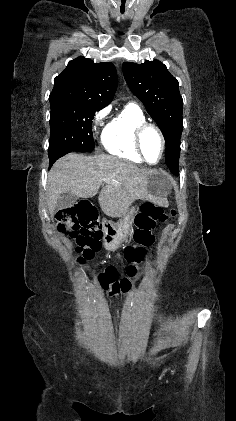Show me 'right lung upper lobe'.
Returning <instances> with one entry per match:
<instances>
[{
  "instance_id": "cb5924a9",
  "label": "right lung upper lobe",
  "mask_w": 236,
  "mask_h": 421,
  "mask_svg": "<svg viewBox=\"0 0 236 421\" xmlns=\"http://www.w3.org/2000/svg\"><path fill=\"white\" fill-rule=\"evenodd\" d=\"M117 73L112 63H94L78 57L54 79L51 98L86 100L108 105L117 88Z\"/></svg>"
}]
</instances>
